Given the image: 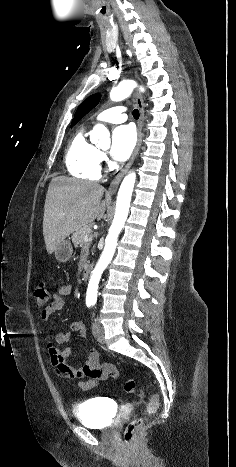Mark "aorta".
Instances as JSON below:
<instances>
[{
	"label": "aorta",
	"mask_w": 236,
	"mask_h": 467,
	"mask_svg": "<svg viewBox=\"0 0 236 467\" xmlns=\"http://www.w3.org/2000/svg\"><path fill=\"white\" fill-rule=\"evenodd\" d=\"M137 87V84L133 80H125L118 84L117 87L113 88L110 91V99L112 101H121L127 98L133 91V89ZM140 90L143 92L144 88L140 87ZM91 141L94 144L99 145L100 140L103 138H108V131L102 124H97L94 126L91 135ZM136 180V173L129 172L125 178L123 179L118 195H117V202H116V210L114 219L112 221L111 227L109 228L108 235L105 239V247L104 250L96 264L94 270L92 271L87 293H86V300L89 301H96L97 293H98V285L101 279V275L105 268L108 266L112 257L114 255L118 236L124 227L125 221L127 219L131 196L134 188Z\"/></svg>",
	"instance_id": "1"
}]
</instances>
